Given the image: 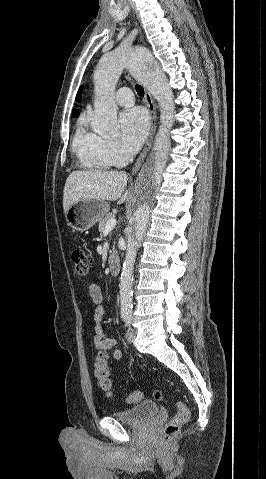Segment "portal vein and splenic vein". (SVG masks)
Returning a JSON list of instances; mask_svg holds the SVG:
<instances>
[{
    "mask_svg": "<svg viewBox=\"0 0 266 479\" xmlns=\"http://www.w3.org/2000/svg\"><path fill=\"white\" fill-rule=\"evenodd\" d=\"M115 226H116V219L112 218L107 222V224L105 226V229H104V232H108V231L112 230L113 228H115Z\"/></svg>",
    "mask_w": 266,
    "mask_h": 479,
    "instance_id": "obj_1",
    "label": "portal vein and splenic vein"
}]
</instances>
